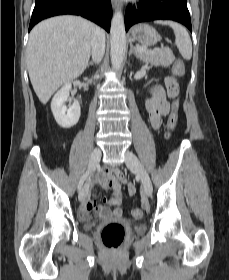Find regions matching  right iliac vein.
I'll return each mask as SVG.
<instances>
[{
  "instance_id": "1",
  "label": "right iliac vein",
  "mask_w": 229,
  "mask_h": 280,
  "mask_svg": "<svg viewBox=\"0 0 229 280\" xmlns=\"http://www.w3.org/2000/svg\"><path fill=\"white\" fill-rule=\"evenodd\" d=\"M100 158H101V151L99 148H95L92 153H91V157H90V160H89V165H88V169L90 171H93L95 170V168L97 167L99 161H100ZM88 182L87 184L83 187V189L79 192V200L82 201L83 199V196H84V193L86 191V188L88 186Z\"/></svg>"
}]
</instances>
